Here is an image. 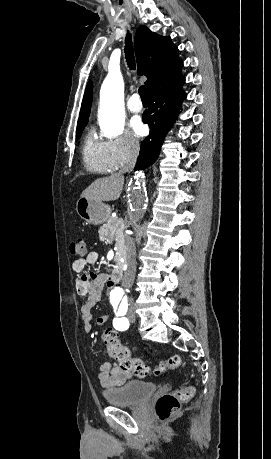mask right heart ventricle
Segmentation results:
<instances>
[{
  "mask_svg": "<svg viewBox=\"0 0 271 459\" xmlns=\"http://www.w3.org/2000/svg\"><path fill=\"white\" fill-rule=\"evenodd\" d=\"M82 161L86 170L91 172L106 173L115 169L109 157L107 142L98 141L92 130L84 138Z\"/></svg>",
  "mask_w": 271,
  "mask_h": 459,
  "instance_id": "e07e8e85",
  "label": "right heart ventricle"
}]
</instances>
